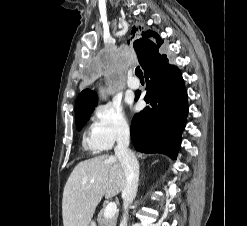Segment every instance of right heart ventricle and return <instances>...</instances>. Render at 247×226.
I'll list each match as a JSON object with an SVG mask.
<instances>
[{
	"mask_svg": "<svg viewBox=\"0 0 247 226\" xmlns=\"http://www.w3.org/2000/svg\"><path fill=\"white\" fill-rule=\"evenodd\" d=\"M88 147H89V149H90L92 152H94V153L101 151L100 149L94 148V147H90L89 145H88Z\"/></svg>",
	"mask_w": 247,
	"mask_h": 226,
	"instance_id": "1",
	"label": "right heart ventricle"
}]
</instances>
